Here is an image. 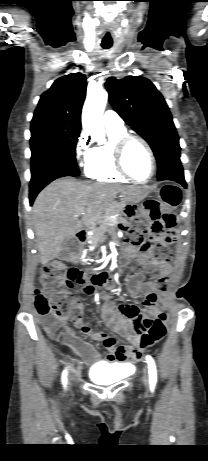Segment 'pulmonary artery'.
I'll use <instances>...</instances> for the list:
<instances>
[{
  "label": "pulmonary artery",
  "mask_w": 208,
  "mask_h": 461,
  "mask_svg": "<svg viewBox=\"0 0 208 461\" xmlns=\"http://www.w3.org/2000/svg\"><path fill=\"white\" fill-rule=\"evenodd\" d=\"M103 124L106 128H122V118L112 110H107L103 116Z\"/></svg>",
  "instance_id": "pulmonary-artery-1"
}]
</instances>
